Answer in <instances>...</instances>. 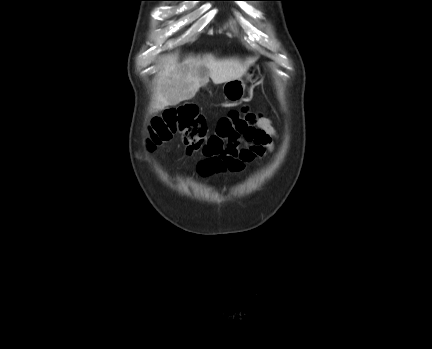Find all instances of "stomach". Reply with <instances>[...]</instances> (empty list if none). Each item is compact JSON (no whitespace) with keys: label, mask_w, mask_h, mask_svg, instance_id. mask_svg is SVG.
Listing matches in <instances>:
<instances>
[{"label":"stomach","mask_w":432,"mask_h":349,"mask_svg":"<svg viewBox=\"0 0 432 349\" xmlns=\"http://www.w3.org/2000/svg\"><path fill=\"white\" fill-rule=\"evenodd\" d=\"M258 67H251L246 73L247 81H255L258 78ZM245 81L242 78L227 81L223 85V94L227 101L237 103L241 101L245 95Z\"/></svg>","instance_id":"stomach-1"}]
</instances>
